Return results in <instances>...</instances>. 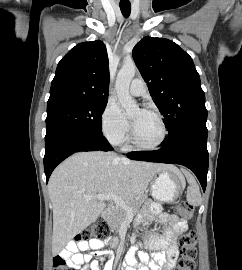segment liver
<instances>
[{
    "instance_id": "obj_1",
    "label": "liver",
    "mask_w": 242,
    "mask_h": 270,
    "mask_svg": "<svg viewBox=\"0 0 242 270\" xmlns=\"http://www.w3.org/2000/svg\"><path fill=\"white\" fill-rule=\"evenodd\" d=\"M172 165L131 161L111 152H79L52 173L48 192L53 205V252L58 253L103 212L104 200L85 195L115 194L134 201L144 194L153 177Z\"/></svg>"
}]
</instances>
